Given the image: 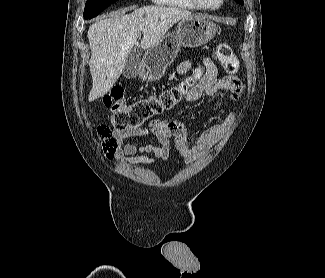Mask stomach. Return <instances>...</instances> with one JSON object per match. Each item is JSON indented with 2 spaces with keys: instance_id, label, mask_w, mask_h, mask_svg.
<instances>
[{
  "instance_id": "obj_1",
  "label": "stomach",
  "mask_w": 325,
  "mask_h": 278,
  "mask_svg": "<svg viewBox=\"0 0 325 278\" xmlns=\"http://www.w3.org/2000/svg\"><path fill=\"white\" fill-rule=\"evenodd\" d=\"M216 31L215 23L205 16L181 19L175 33L166 34L159 43L146 50L140 77L144 81L160 79L176 58L181 46H202L214 38Z\"/></svg>"
}]
</instances>
